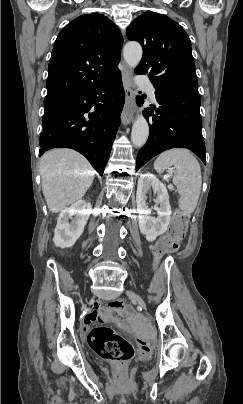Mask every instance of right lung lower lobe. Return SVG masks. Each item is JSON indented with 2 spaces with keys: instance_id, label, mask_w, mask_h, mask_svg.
<instances>
[{
  "instance_id": "right-lung-lower-lobe-1",
  "label": "right lung lower lobe",
  "mask_w": 243,
  "mask_h": 404,
  "mask_svg": "<svg viewBox=\"0 0 243 404\" xmlns=\"http://www.w3.org/2000/svg\"><path fill=\"white\" fill-rule=\"evenodd\" d=\"M124 98L120 74L85 92L45 103L39 155L52 148H71L84 155L103 175ZM93 105L95 111L86 118L84 114Z\"/></svg>"
}]
</instances>
